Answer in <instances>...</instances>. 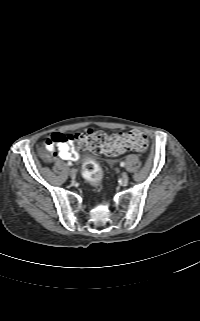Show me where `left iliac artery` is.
I'll return each instance as SVG.
<instances>
[{"label":"left iliac artery","mask_w":200,"mask_h":321,"mask_svg":"<svg viewBox=\"0 0 200 321\" xmlns=\"http://www.w3.org/2000/svg\"><path fill=\"white\" fill-rule=\"evenodd\" d=\"M120 166H121V167H124V166H125V163H124V162H121V163H120Z\"/></svg>","instance_id":"1"}]
</instances>
